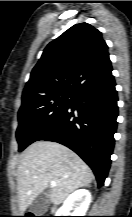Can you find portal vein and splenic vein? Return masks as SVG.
<instances>
[{"instance_id":"portal-vein-and-splenic-vein-1","label":"portal vein and splenic vein","mask_w":132,"mask_h":217,"mask_svg":"<svg viewBox=\"0 0 132 217\" xmlns=\"http://www.w3.org/2000/svg\"><path fill=\"white\" fill-rule=\"evenodd\" d=\"M50 184H51L52 187L56 186V182L55 181H51Z\"/></svg>"}]
</instances>
